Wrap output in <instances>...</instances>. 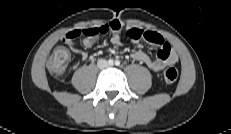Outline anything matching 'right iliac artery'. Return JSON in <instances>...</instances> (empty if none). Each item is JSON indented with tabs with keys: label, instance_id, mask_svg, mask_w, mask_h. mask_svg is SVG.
I'll return each mask as SVG.
<instances>
[{
	"label": "right iliac artery",
	"instance_id": "1",
	"mask_svg": "<svg viewBox=\"0 0 231 134\" xmlns=\"http://www.w3.org/2000/svg\"><path fill=\"white\" fill-rule=\"evenodd\" d=\"M113 62H114V61H113L112 59H109V60H108V63H109L110 65H113Z\"/></svg>",
	"mask_w": 231,
	"mask_h": 134
}]
</instances>
